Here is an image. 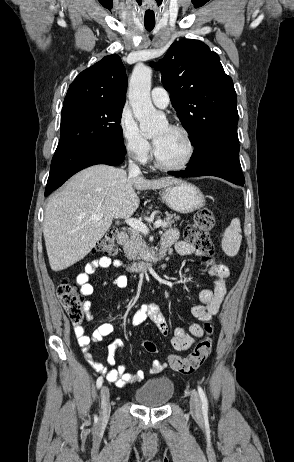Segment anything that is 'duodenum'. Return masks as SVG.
Returning <instances> with one entry per match:
<instances>
[{
    "instance_id": "obj_1",
    "label": "duodenum",
    "mask_w": 294,
    "mask_h": 462,
    "mask_svg": "<svg viewBox=\"0 0 294 462\" xmlns=\"http://www.w3.org/2000/svg\"><path fill=\"white\" fill-rule=\"evenodd\" d=\"M116 240H117L118 244L125 245L127 243V240H128L127 231L125 229H120L116 234ZM167 250H168V245H166L164 243H161L158 250L156 251V253L152 257H150V258H148L146 260H142V261H138V262L133 263L131 265L132 271L134 273H142V272L148 271L149 268L156 265L157 263H159L164 258V256L167 253Z\"/></svg>"
}]
</instances>
